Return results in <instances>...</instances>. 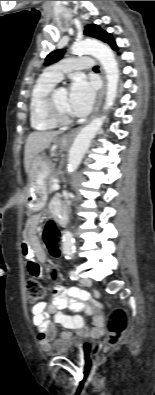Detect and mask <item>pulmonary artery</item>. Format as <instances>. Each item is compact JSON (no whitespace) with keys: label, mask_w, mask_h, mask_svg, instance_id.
Segmentation results:
<instances>
[{"label":"pulmonary artery","mask_w":155,"mask_h":395,"mask_svg":"<svg viewBox=\"0 0 155 395\" xmlns=\"http://www.w3.org/2000/svg\"><path fill=\"white\" fill-rule=\"evenodd\" d=\"M92 67L93 60L90 57L68 58L50 66L47 69V74L58 82L67 73L76 70L91 69Z\"/></svg>","instance_id":"e3ab8cb5"}]
</instances>
